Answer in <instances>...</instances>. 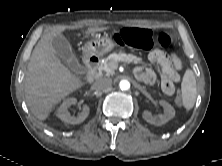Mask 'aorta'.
<instances>
[{
	"instance_id": "obj_1",
	"label": "aorta",
	"mask_w": 222,
	"mask_h": 166,
	"mask_svg": "<svg viewBox=\"0 0 222 166\" xmlns=\"http://www.w3.org/2000/svg\"><path fill=\"white\" fill-rule=\"evenodd\" d=\"M119 86L121 90H128L130 88V83L127 80H121Z\"/></svg>"
}]
</instances>
